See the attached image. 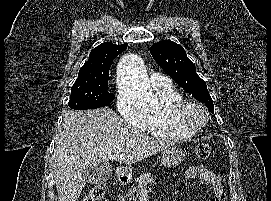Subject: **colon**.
<instances>
[{"instance_id": "obj_1", "label": "colon", "mask_w": 271, "mask_h": 201, "mask_svg": "<svg viewBox=\"0 0 271 201\" xmlns=\"http://www.w3.org/2000/svg\"><path fill=\"white\" fill-rule=\"evenodd\" d=\"M195 154L202 159L208 158L212 154V147L208 143H200L195 147ZM106 187L103 183L95 184L91 187L83 201H100L105 194Z\"/></svg>"}]
</instances>
